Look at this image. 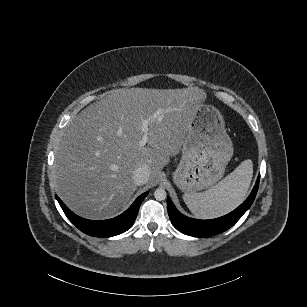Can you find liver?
Here are the masks:
<instances>
[{"mask_svg":"<svg viewBox=\"0 0 307 307\" xmlns=\"http://www.w3.org/2000/svg\"><path fill=\"white\" fill-rule=\"evenodd\" d=\"M203 97L198 87H125L82 110L67 126L53 163L55 189L64 204L89 220L119 212L136 190L135 169L147 165L154 180L179 152ZM157 110L165 116L143 129L142 120ZM146 133L147 147L138 148Z\"/></svg>","mask_w":307,"mask_h":307,"instance_id":"1","label":"liver"}]
</instances>
